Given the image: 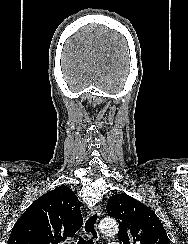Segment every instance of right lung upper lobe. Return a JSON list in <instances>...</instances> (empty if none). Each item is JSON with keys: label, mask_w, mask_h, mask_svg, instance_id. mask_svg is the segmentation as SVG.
Segmentation results:
<instances>
[{"label": "right lung upper lobe", "mask_w": 188, "mask_h": 244, "mask_svg": "<svg viewBox=\"0 0 188 244\" xmlns=\"http://www.w3.org/2000/svg\"><path fill=\"white\" fill-rule=\"evenodd\" d=\"M83 224L80 202L65 185L35 200L15 223L8 244H58Z\"/></svg>", "instance_id": "cb5924a9"}]
</instances>
